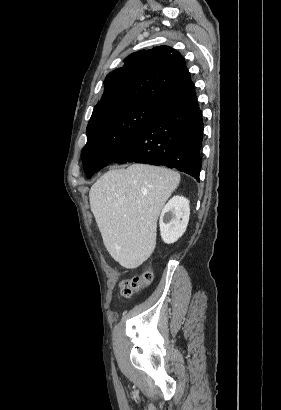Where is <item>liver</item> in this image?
Returning <instances> with one entry per match:
<instances>
[{
    "mask_svg": "<svg viewBox=\"0 0 281 410\" xmlns=\"http://www.w3.org/2000/svg\"><path fill=\"white\" fill-rule=\"evenodd\" d=\"M179 182L176 171L132 164L92 185L91 211L107 251L121 266L136 268L154 252L158 216Z\"/></svg>",
    "mask_w": 281,
    "mask_h": 410,
    "instance_id": "1",
    "label": "liver"
}]
</instances>
